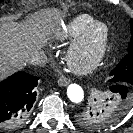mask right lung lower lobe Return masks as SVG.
Returning <instances> with one entry per match:
<instances>
[{
    "label": "right lung lower lobe",
    "instance_id": "1",
    "mask_svg": "<svg viewBox=\"0 0 133 133\" xmlns=\"http://www.w3.org/2000/svg\"><path fill=\"white\" fill-rule=\"evenodd\" d=\"M38 78L17 72L0 82V128L12 129L22 124L36 98Z\"/></svg>",
    "mask_w": 133,
    "mask_h": 133
}]
</instances>
